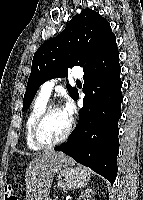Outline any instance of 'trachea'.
<instances>
[{
	"instance_id": "1",
	"label": "trachea",
	"mask_w": 143,
	"mask_h": 200,
	"mask_svg": "<svg viewBox=\"0 0 143 200\" xmlns=\"http://www.w3.org/2000/svg\"><path fill=\"white\" fill-rule=\"evenodd\" d=\"M76 83H81L80 80H77Z\"/></svg>"
}]
</instances>
